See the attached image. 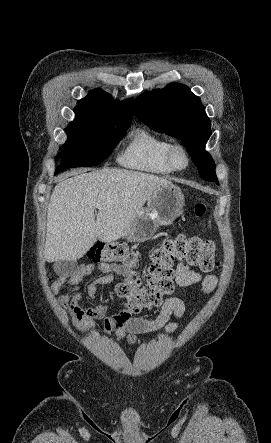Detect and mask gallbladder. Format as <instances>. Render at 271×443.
<instances>
[{
  "instance_id": "bac80fb5",
  "label": "gallbladder",
  "mask_w": 271,
  "mask_h": 443,
  "mask_svg": "<svg viewBox=\"0 0 271 443\" xmlns=\"http://www.w3.org/2000/svg\"><path fill=\"white\" fill-rule=\"evenodd\" d=\"M80 268L79 260H62L55 261L54 269L55 273L59 275L61 278H68L70 273H74L75 269Z\"/></svg>"
}]
</instances>
